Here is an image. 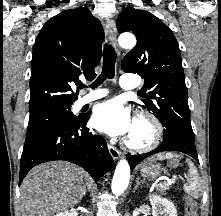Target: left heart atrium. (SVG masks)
Segmentation results:
<instances>
[{
  "mask_svg": "<svg viewBox=\"0 0 221 216\" xmlns=\"http://www.w3.org/2000/svg\"><path fill=\"white\" fill-rule=\"evenodd\" d=\"M91 122L98 131L110 136L128 134L134 124L129 110L117 99H111L95 106Z\"/></svg>",
  "mask_w": 221,
  "mask_h": 216,
  "instance_id": "1",
  "label": "left heart atrium"
}]
</instances>
